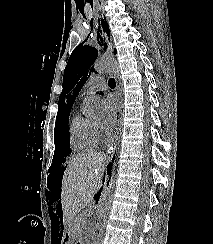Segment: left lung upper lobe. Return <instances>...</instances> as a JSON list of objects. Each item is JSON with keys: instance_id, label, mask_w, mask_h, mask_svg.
<instances>
[{"instance_id": "obj_1", "label": "left lung upper lobe", "mask_w": 213, "mask_h": 244, "mask_svg": "<svg viewBox=\"0 0 213 244\" xmlns=\"http://www.w3.org/2000/svg\"><path fill=\"white\" fill-rule=\"evenodd\" d=\"M99 38L101 42L98 41V44L102 45L103 40L100 35ZM97 56V46L90 47L83 44H80L70 55L64 71L63 90L58 102V115L68 111L74 103L76 96L91 74V65L95 62Z\"/></svg>"}]
</instances>
